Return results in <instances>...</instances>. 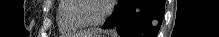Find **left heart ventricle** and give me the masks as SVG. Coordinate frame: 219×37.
Here are the masks:
<instances>
[{
	"instance_id": "b2bd125f",
	"label": "left heart ventricle",
	"mask_w": 219,
	"mask_h": 37,
	"mask_svg": "<svg viewBox=\"0 0 219 37\" xmlns=\"http://www.w3.org/2000/svg\"><path fill=\"white\" fill-rule=\"evenodd\" d=\"M105 10V1L103 0H82L78 17L83 20L93 21L98 19Z\"/></svg>"
}]
</instances>
